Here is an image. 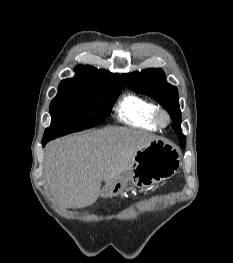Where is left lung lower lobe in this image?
I'll use <instances>...</instances> for the list:
<instances>
[{
    "mask_svg": "<svg viewBox=\"0 0 233 263\" xmlns=\"http://www.w3.org/2000/svg\"><path fill=\"white\" fill-rule=\"evenodd\" d=\"M179 140H180L181 146L184 148L186 144L185 138L181 137L179 138Z\"/></svg>",
    "mask_w": 233,
    "mask_h": 263,
    "instance_id": "obj_1",
    "label": "left lung lower lobe"
}]
</instances>
